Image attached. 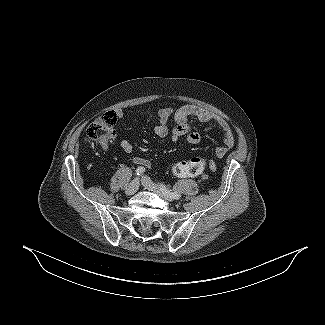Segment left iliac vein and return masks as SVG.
<instances>
[{
	"mask_svg": "<svg viewBox=\"0 0 325 325\" xmlns=\"http://www.w3.org/2000/svg\"><path fill=\"white\" fill-rule=\"evenodd\" d=\"M141 183L146 189L158 194L159 196L165 198L166 200H168V201L174 200L173 197L162 192V190L158 187V185H156L154 182H152L149 177L142 176Z\"/></svg>",
	"mask_w": 325,
	"mask_h": 325,
	"instance_id": "1",
	"label": "left iliac vein"
}]
</instances>
